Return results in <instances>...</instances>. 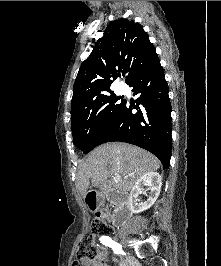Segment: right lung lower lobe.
<instances>
[{
    "instance_id": "98d812e1",
    "label": "right lung lower lobe",
    "mask_w": 221,
    "mask_h": 266,
    "mask_svg": "<svg viewBox=\"0 0 221 266\" xmlns=\"http://www.w3.org/2000/svg\"><path fill=\"white\" fill-rule=\"evenodd\" d=\"M128 85L133 87L135 95H139L136 105L125 101L117 119L98 145L119 141L139 146L157 156L167 169L172 149L171 104L160 60L134 75ZM133 108L136 113H132Z\"/></svg>"
}]
</instances>
